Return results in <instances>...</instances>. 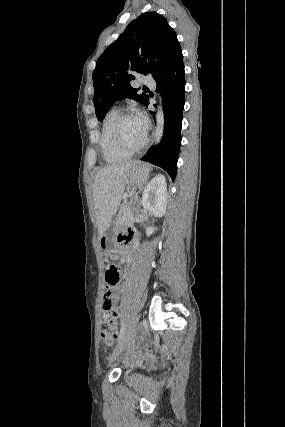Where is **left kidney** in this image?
I'll use <instances>...</instances> for the list:
<instances>
[{"label": "left kidney", "instance_id": "1", "mask_svg": "<svg viewBox=\"0 0 285 427\" xmlns=\"http://www.w3.org/2000/svg\"><path fill=\"white\" fill-rule=\"evenodd\" d=\"M167 183L162 174L155 176L145 187L141 204L155 217H162L166 212ZM157 228L147 227L146 235L150 236Z\"/></svg>", "mask_w": 285, "mask_h": 427}]
</instances>
